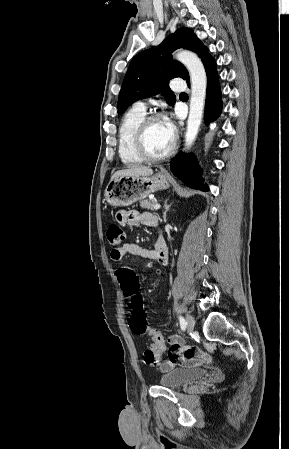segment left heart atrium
Returning <instances> with one entry per match:
<instances>
[{"instance_id": "left-heart-atrium-1", "label": "left heart atrium", "mask_w": 289, "mask_h": 449, "mask_svg": "<svg viewBox=\"0 0 289 449\" xmlns=\"http://www.w3.org/2000/svg\"><path fill=\"white\" fill-rule=\"evenodd\" d=\"M165 124L168 127V129L174 134V126H173L172 122L169 120H166Z\"/></svg>"}]
</instances>
